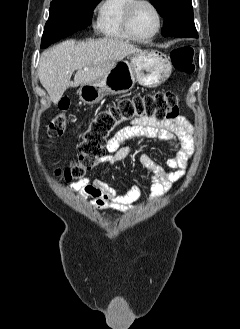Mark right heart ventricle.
Instances as JSON below:
<instances>
[{
  "label": "right heart ventricle",
  "mask_w": 240,
  "mask_h": 329,
  "mask_svg": "<svg viewBox=\"0 0 240 329\" xmlns=\"http://www.w3.org/2000/svg\"><path fill=\"white\" fill-rule=\"evenodd\" d=\"M132 0H103L99 5L96 29L105 38L126 42L132 40L124 30V14Z\"/></svg>",
  "instance_id": "e07e8e85"
}]
</instances>
